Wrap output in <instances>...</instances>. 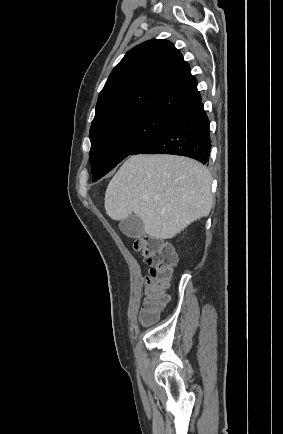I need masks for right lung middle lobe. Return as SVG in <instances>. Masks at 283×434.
I'll use <instances>...</instances> for the list:
<instances>
[{"mask_svg": "<svg viewBox=\"0 0 283 434\" xmlns=\"http://www.w3.org/2000/svg\"><path fill=\"white\" fill-rule=\"evenodd\" d=\"M170 119L147 112L115 116L90 128V163L93 181L100 179L119 162L164 127Z\"/></svg>", "mask_w": 283, "mask_h": 434, "instance_id": "dd1d6c3e", "label": "right lung middle lobe"}]
</instances>
